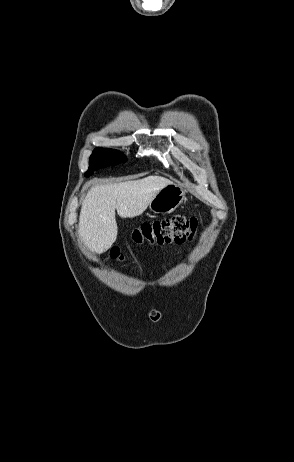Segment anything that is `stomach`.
Listing matches in <instances>:
<instances>
[{
    "label": "stomach",
    "instance_id": "stomach-1",
    "mask_svg": "<svg viewBox=\"0 0 294 462\" xmlns=\"http://www.w3.org/2000/svg\"><path fill=\"white\" fill-rule=\"evenodd\" d=\"M185 200V191L170 184L157 192L149 203V210L155 214H168L174 211Z\"/></svg>",
    "mask_w": 294,
    "mask_h": 462
}]
</instances>
